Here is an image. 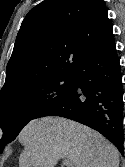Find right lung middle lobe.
<instances>
[{"instance_id":"1","label":"right lung middle lobe","mask_w":125,"mask_h":167,"mask_svg":"<svg viewBox=\"0 0 125 167\" xmlns=\"http://www.w3.org/2000/svg\"><path fill=\"white\" fill-rule=\"evenodd\" d=\"M74 81V72H66L0 98V127L3 130L0 147L13 141L44 105L59 99Z\"/></svg>"}]
</instances>
